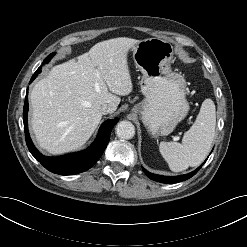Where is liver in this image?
Returning <instances> with one entry per match:
<instances>
[{
  "instance_id": "obj_1",
  "label": "liver",
  "mask_w": 247,
  "mask_h": 247,
  "mask_svg": "<svg viewBox=\"0 0 247 247\" xmlns=\"http://www.w3.org/2000/svg\"><path fill=\"white\" fill-rule=\"evenodd\" d=\"M138 43L126 37L99 42L34 85L31 126L40 149L52 155L76 150L100 123L102 105L116 111L119 96L133 90L127 55Z\"/></svg>"
}]
</instances>
